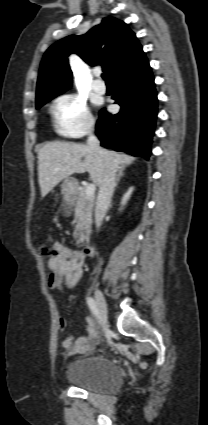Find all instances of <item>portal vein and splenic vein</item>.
I'll return each mask as SVG.
<instances>
[{
    "label": "portal vein and splenic vein",
    "mask_w": 208,
    "mask_h": 425,
    "mask_svg": "<svg viewBox=\"0 0 208 425\" xmlns=\"http://www.w3.org/2000/svg\"><path fill=\"white\" fill-rule=\"evenodd\" d=\"M95 190H96V187H95V185H94V184H88V185L86 186V194H87L89 197H93V196H94V194H95Z\"/></svg>",
    "instance_id": "1"
}]
</instances>
